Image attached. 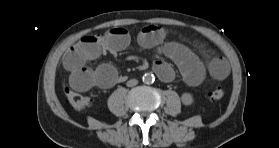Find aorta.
<instances>
[{
	"instance_id": "762f6f07",
	"label": "aorta",
	"mask_w": 279,
	"mask_h": 148,
	"mask_svg": "<svg viewBox=\"0 0 279 148\" xmlns=\"http://www.w3.org/2000/svg\"><path fill=\"white\" fill-rule=\"evenodd\" d=\"M143 82L146 83V84H150V83H153L154 80H155V77L153 74H150V73H146L144 76H143Z\"/></svg>"
}]
</instances>
